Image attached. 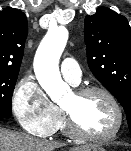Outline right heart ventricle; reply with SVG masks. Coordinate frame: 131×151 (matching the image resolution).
<instances>
[{"instance_id": "right-heart-ventricle-1", "label": "right heart ventricle", "mask_w": 131, "mask_h": 151, "mask_svg": "<svg viewBox=\"0 0 131 151\" xmlns=\"http://www.w3.org/2000/svg\"><path fill=\"white\" fill-rule=\"evenodd\" d=\"M56 131H63V132L66 131L65 119L62 116V113H61V116H60V119H59L58 123L56 124V126H55V128L53 130V132H56Z\"/></svg>"}]
</instances>
